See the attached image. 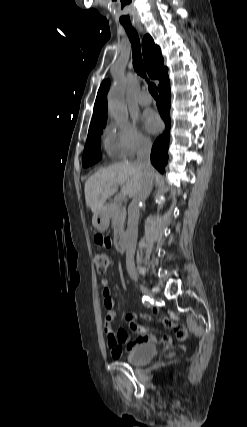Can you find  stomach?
I'll return each instance as SVG.
<instances>
[{"label":"stomach","mask_w":247,"mask_h":427,"mask_svg":"<svg viewBox=\"0 0 247 427\" xmlns=\"http://www.w3.org/2000/svg\"><path fill=\"white\" fill-rule=\"evenodd\" d=\"M92 224L98 231H105L109 226V217L106 208H102L95 213L92 218Z\"/></svg>","instance_id":"0dacf381"}]
</instances>
